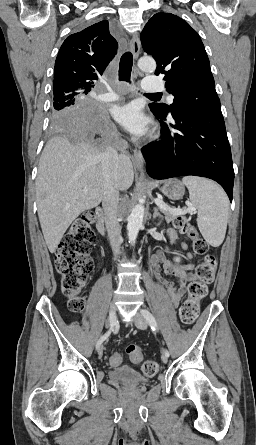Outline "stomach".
I'll use <instances>...</instances> for the list:
<instances>
[{
  "label": "stomach",
  "instance_id": "obj_1",
  "mask_svg": "<svg viewBox=\"0 0 256 445\" xmlns=\"http://www.w3.org/2000/svg\"><path fill=\"white\" fill-rule=\"evenodd\" d=\"M160 190L170 200H179L185 193L184 185L176 178L167 180Z\"/></svg>",
  "mask_w": 256,
  "mask_h": 445
}]
</instances>
